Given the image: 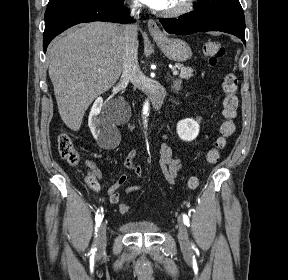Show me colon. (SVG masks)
Instances as JSON below:
<instances>
[{
  "label": "colon",
  "instance_id": "1",
  "mask_svg": "<svg viewBox=\"0 0 288 280\" xmlns=\"http://www.w3.org/2000/svg\"><path fill=\"white\" fill-rule=\"evenodd\" d=\"M224 46L214 40L206 41L203 45V54L207 58L211 65H216L218 61L224 56ZM224 98L223 105V122L220 126V136L215 142V146L210 149L206 154V161L209 164H214L218 161L220 153L226 147L227 139L233 135L235 131L234 119L239 104L237 97L238 79L235 74L229 73L225 75L222 83ZM58 152L63 160L72 166L79 165L81 162L80 155L75 147V144L67 132H62L57 137ZM89 168L88 183L93 188H97L96 175ZM199 186V179L197 176H191L187 181V187L190 190H195ZM120 211L128 215L131 213V208L128 204L123 203L120 207Z\"/></svg>",
  "mask_w": 288,
  "mask_h": 280
}]
</instances>
